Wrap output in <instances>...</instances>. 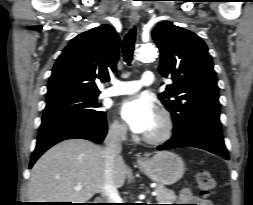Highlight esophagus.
Here are the masks:
<instances>
[{"label":"esophagus","mask_w":253,"mask_h":205,"mask_svg":"<svg viewBox=\"0 0 253 205\" xmlns=\"http://www.w3.org/2000/svg\"><path fill=\"white\" fill-rule=\"evenodd\" d=\"M139 19H140V15L138 13L136 12L131 13L130 22L132 25H135L139 21ZM136 161L137 163H142L144 162V158L141 156H138Z\"/></svg>","instance_id":"34e87169"}]
</instances>
